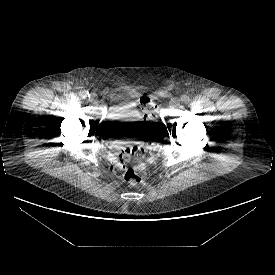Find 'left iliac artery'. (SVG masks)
Segmentation results:
<instances>
[{"instance_id":"left-iliac-artery-1","label":"left iliac artery","mask_w":275,"mask_h":275,"mask_svg":"<svg viewBox=\"0 0 275 275\" xmlns=\"http://www.w3.org/2000/svg\"><path fill=\"white\" fill-rule=\"evenodd\" d=\"M189 101H190V98H189L188 96L183 95V96L181 97V102H183V103H188Z\"/></svg>"}]
</instances>
